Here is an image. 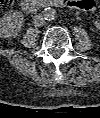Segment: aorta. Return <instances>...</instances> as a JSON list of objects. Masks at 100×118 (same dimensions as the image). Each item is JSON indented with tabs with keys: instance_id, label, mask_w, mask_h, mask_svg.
<instances>
[{
	"instance_id": "obj_1",
	"label": "aorta",
	"mask_w": 100,
	"mask_h": 118,
	"mask_svg": "<svg viewBox=\"0 0 100 118\" xmlns=\"http://www.w3.org/2000/svg\"><path fill=\"white\" fill-rule=\"evenodd\" d=\"M45 20L51 21L57 17V12L54 8L47 7L42 11Z\"/></svg>"
}]
</instances>
